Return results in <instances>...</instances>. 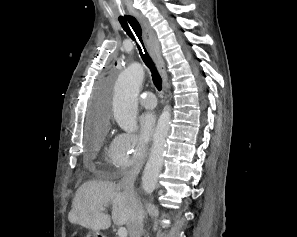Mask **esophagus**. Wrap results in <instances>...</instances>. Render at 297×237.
Masks as SVG:
<instances>
[{
	"instance_id": "34e87169",
	"label": "esophagus",
	"mask_w": 297,
	"mask_h": 237,
	"mask_svg": "<svg viewBox=\"0 0 297 237\" xmlns=\"http://www.w3.org/2000/svg\"><path fill=\"white\" fill-rule=\"evenodd\" d=\"M136 16L140 22L141 27H142L143 36H144L146 45L148 47V50H149L154 62L156 63V65L161 73V76L163 79V89L166 90V83L168 80V76H167L164 60L161 56L159 44H158V42L155 38L154 32H153L152 28L150 27V24L146 20V18H144L142 15H139V14H137Z\"/></svg>"
}]
</instances>
